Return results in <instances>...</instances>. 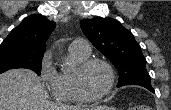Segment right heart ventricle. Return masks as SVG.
<instances>
[{
  "mask_svg": "<svg viewBox=\"0 0 171 110\" xmlns=\"http://www.w3.org/2000/svg\"><path fill=\"white\" fill-rule=\"evenodd\" d=\"M90 53L82 52L70 46L68 61L73 66L72 71L57 73L55 81L49 87L53 98L57 101L74 103L80 100L75 95L72 87V74L74 69L89 58Z\"/></svg>",
  "mask_w": 171,
  "mask_h": 110,
  "instance_id": "1",
  "label": "right heart ventricle"
}]
</instances>
